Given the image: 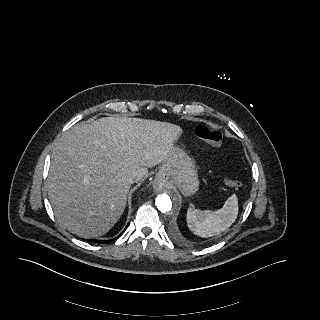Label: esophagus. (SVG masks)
Instances as JSON below:
<instances>
[{
    "label": "esophagus",
    "mask_w": 320,
    "mask_h": 320,
    "mask_svg": "<svg viewBox=\"0 0 320 320\" xmlns=\"http://www.w3.org/2000/svg\"><path fill=\"white\" fill-rule=\"evenodd\" d=\"M155 188H159V184L158 183H155Z\"/></svg>",
    "instance_id": "esophagus-1"
}]
</instances>
